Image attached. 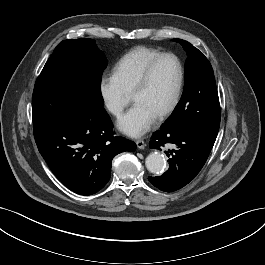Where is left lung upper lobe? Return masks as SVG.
Listing matches in <instances>:
<instances>
[{
    "mask_svg": "<svg viewBox=\"0 0 265 265\" xmlns=\"http://www.w3.org/2000/svg\"><path fill=\"white\" fill-rule=\"evenodd\" d=\"M179 42L188 57L185 62L184 91L164 130H189L214 145L220 126V104L213 69L207 58L192 44Z\"/></svg>",
    "mask_w": 265,
    "mask_h": 265,
    "instance_id": "5c2ea615",
    "label": "left lung upper lobe"
}]
</instances>
